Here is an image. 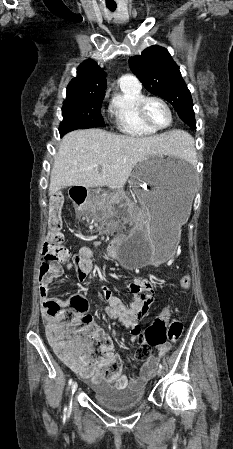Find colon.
I'll return each instance as SVG.
<instances>
[{
	"label": "colon",
	"instance_id": "obj_1",
	"mask_svg": "<svg viewBox=\"0 0 233 449\" xmlns=\"http://www.w3.org/2000/svg\"><path fill=\"white\" fill-rule=\"evenodd\" d=\"M62 205L63 199L60 196L55 195L50 199L48 230L43 243L42 267L58 260H64L69 255V249L64 244ZM190 285V276L179 278L178 286L181 290L187 291ZM87 307L88 302L85 298L74 297L71 301L70 317L63 322V311L58 302L46 301L43 304V316L48 323L49 341L62 359L72 368L78 367L81 361L74 357L67 346L65 341L67 336H74V344L80 352L94 350L95 342H98L100 346L112 344L107 336L98 332L92 323V318L85 314ZM182 331L181 321L170 318L169 313L166 310L163 311L146 328L144 334L138 337V343L142 349L138 357L143 358L153 348L167 347L169 343L177 342ZM100 352L102 356L103 352L101 350ZM102 363L106 364V361H102Z\"/></svg>",
	"mask_w": 233,
	"mask_h": 449
}]
</instances>
